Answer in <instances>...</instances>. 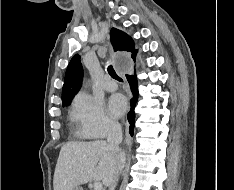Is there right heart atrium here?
<instances>
[{
  "label": "right heart atrium",
  "mask_w": 234,
  "mask_h": 190,
  "mask_svg": "<svg viewBox=\"0 0 234 190\" xmlns=\"http://www.w3.org/2000/svg\"><path fill=\"white\" fill-rule=\"evenodd\" d=\"M70 117L79 135L85 138H102L118 128L117 122L106 112L103 102L85 92L74 97Z\"/></svg>",
  "instance_id": "1"
}]
</instances>
